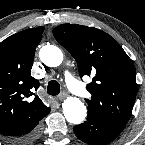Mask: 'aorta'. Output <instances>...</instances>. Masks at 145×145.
Here are the masks:
<instances>
[{
  "label": "aorta",
  "instance_id": "1",
  "mask_svg": "<svg viewBox=\"0 0 145 145\" xmlns=\"http://www.w3.org/2000/svg\"><path fill=\"white\" fill-rule=\"evenodd\" d=\"M40 60L49 67H57L63 61L62 51L54 45H45L39 50ZM66 120L72 124H80L87 116L86 107L76 97H68L62 104Z\"/></svg>",
  "mask_w": 145,
  "mask_h": 145
}]
</instances>
